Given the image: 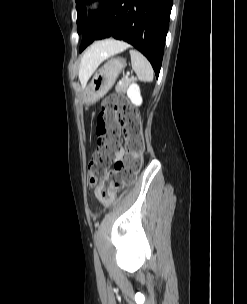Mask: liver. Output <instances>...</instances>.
<instances>
[{
    "instance_id": "1",
    "label": "liver",
    "mask_w": 247,
    "mask_h": 304,
    "mask_svg": "<svg viewBox=\"0 0 247 304\" xmlns=\"http://www.w3.org/2000/svg\"><path fill=\"white\" fill-rule=\"evenodd\" d=\"M128 45L121 41L104 40L94 43L82 56L79 79L82 86H85L88 79L97 69V67L111 55L125 50Z\"/></svg>"
}]
</instances>
